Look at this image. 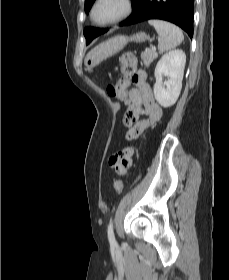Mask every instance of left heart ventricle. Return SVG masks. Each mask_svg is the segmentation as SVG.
Returning <instances> with one entry per match:
<instances>
[{"instance_id": "1", "label": "left heart ventricle", "mask_w": 229, "mask_h": 280, "mask_svg": "<svg viewBox=\"0 0 229 280\" xmlns=\"http://www.w3.org/2000/svg\"><path fill=\"white\" fill-rule=\"evenodd\" d=\"M122 9V3L120 0H105L96 10L95 17L102 21L106 20L117 13Z\"/></svg>"}]
</instances>
